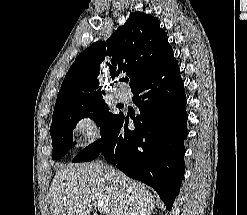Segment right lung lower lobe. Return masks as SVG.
I'll return each instance as SVG.
<instances>
[{
	"mask_svg": "<svg viewBox=\"0 0 247 215\" xmlns=\"http://www.w3.org/2000/svg\"><path fill=\"white\" fill-rule=\"evenodd\" d=\"M131 92L140 108V115L133 118L135 129H128V119L124 123L119 115L101 139L73 162L91 161L102 154L129 177L151 186L170 211L185 172L188 118L184 84L172 49Z\"/></svg>",
	"mask_w": 247,
	"mask_h": 215,
	"instance_id": "obj_1",
	"label": "right lung lower lobe"
}]
</instances>
